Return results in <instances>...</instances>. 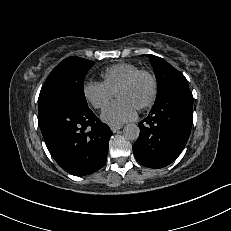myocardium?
Instances as JSON below:
<instances>
[{
    "instance_id": "f54148a6",
    "label": "myocardium",
    "mask_w": 231,
    "mask_h": 231,
    "mask_svg": "<svg viewBox=\"0 0 231 231\" xmlns=\"http://www.w3.org/2000/svg\"><path fill=\"white\" fill-rule=\"evenodd\" d=\"M141 77H146L148 78V80L150 81V84H151V91H150V95L149 97L147 98V100L142 103L137 109L138 110H145L149 107H151L156 98H157V94H158V83H157V79L156 77L154 76L153 73H151L150 71H147V70H141L139 69L138 71L134 72L133 74H131L129 77H127L116 89L115 91V94L116 92L119 90V89H122V88H126V87H129L131 85H133L139 78Z\"/></svg>"
}]
</instances>
